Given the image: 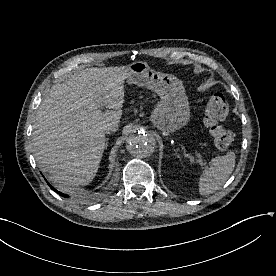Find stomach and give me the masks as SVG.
Segmentation results:
<instances>
[{
    "label": "stomach",
    "instance_id": "1",
    "mask_svg": "<svg viewBox=\"0 0 276 276\" xmlns=\"http://www.w3.org/2000/svg\"><path fill=\"white\" fill-rule=\"evenodd\" d=\"M127 82L153 90L160 96L151 115V122L164 133L173 132L186 125L190 106L181 80L172 74L151 69L146 62L130 64Z\"/></svg>",
    "mask_w": 276,
    "mask_h": 276
}]
</instances>
